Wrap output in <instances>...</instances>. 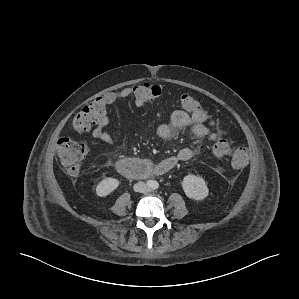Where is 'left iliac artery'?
Segmentation results:
<instances>
[{
	"mask_svg": "<svg viewBox=\"0 0 299 299\" xmlns=\"http://www.w3.org/2000/svg\"><path fill=\"white\" fill-rule=\"evenodd\" d=\"M154 187H155V188L158 187V183H157V182L154 183Z\"/></svg>",
	"mask_w": 299,
	"mask_h": 299,
	"instance_id": "obj_1",
	"label": "left iliac artery"
}]
</instances>
